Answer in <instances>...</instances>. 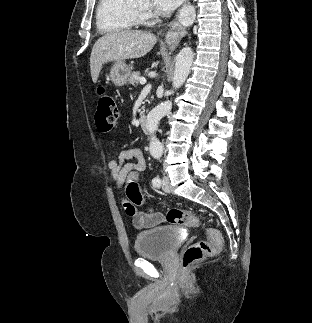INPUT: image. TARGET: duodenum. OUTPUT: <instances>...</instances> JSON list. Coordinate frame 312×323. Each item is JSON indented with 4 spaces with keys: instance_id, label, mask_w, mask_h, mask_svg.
Segmentation results:
<instances>
[{
    "instance_id": "1",
    "label": "duodenum",
    "mask_w": 312,
    "mask_h": 323,
    "mask_svg": "<svg viewBox=\"0 0 312 323\" xmlns=\"http://www.w3.org/2000/svg\"><path fill=\"white\" fill-rule=\"evenodd\" d=\"M139 127L142 131H148V123L145 115L141 114L138 118Z\"/></svg>"
}]
</instances>
